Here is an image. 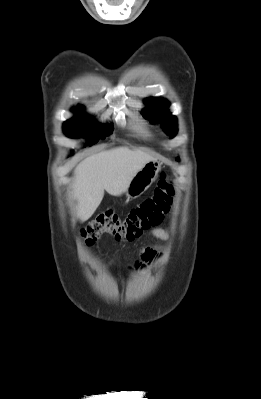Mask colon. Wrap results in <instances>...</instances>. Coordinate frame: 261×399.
I'll return each mask as SVG.
<instances>
[{
    "instance_id": "obj_1",
    "label": "colon",
    "mask_w": 261,
    "mask_h": 399,
    "mask_svg": "<svg viewBox=\"0 0 261 399\" xmlns=\"http://www.w3.org/2000/svg\"><path fill=\"white\" fill-rule=\"evenodd\" d=\"M172 196L173 187L166 175L162 174L154 194L132 208L124 217L114 212H104L85 226L81 231L85 243L93 245L104 234L120 242L134 241L144 231L161 224Z\"/></svg>"
}]
</instances>
